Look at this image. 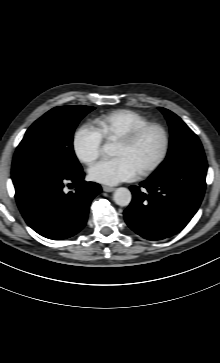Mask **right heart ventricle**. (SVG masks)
Returning a JSON list of instances; mask_svg holds the SVG:
<instances>
[{
	"label": "right heart ventricle",
	"instance_id": "obj_1",
	"mask_svg": "<svg viewBox=\"0 0 220 363\" xmlns=\"http://www.w3.org/2000/svg\"><path fill=\"white\" fill-rule=\"evenodd\" d=\"M150 120L142 114L120 109L100 116L97 121V131L107 141H116L123 135L149 123Z\"/></svg>",
	"mask_w": 220,
	"mask_h": 363
}]
</instances>
